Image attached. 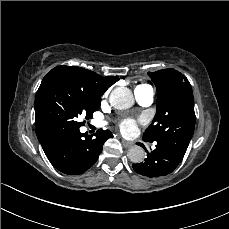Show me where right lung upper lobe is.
<instances>
[{
	"label": "right lung upper lobe",
	"mask_w": 229,
	"mask_h": 229,
	"mask_svg": "<svg viewBox=\"0 0 229 229\" xmlns=\"http://www.w3.org/2000/svg\"><path fill=\"white\" fill-rule=\"evenodd\" d=\"M62 75L76 81L89 95L101 98V95L116 81L117 76L102 77L93 71L75 67V66H58L53 68L47 75ZM51 145V144H50ZM50 145H42L47 149Z\"/></svg>",
	"instance_id": "obj_1"
}]
</instances>
